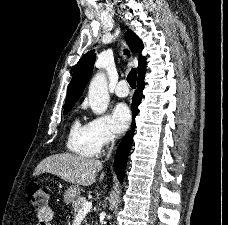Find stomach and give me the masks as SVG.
Wrapping results in <instances>:
<instances>
[{
	"instance_id": "stomach-1",
	"label": "stomach",
	"mask_w": 228,
	"mask_h": 225,
	"mask_svg": "<svg viewBox=\"0 0 228 225\" xmlns=\"http://www.w3.org/2000/svg\"><path fill=\"white\" fill-rule=\"evenodd\" d=\"M64 203H72V201H75L77 197H80V187L78 185H71V187H68L66 189L64 195Z\"/></svg>"
}]
</instances>
